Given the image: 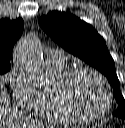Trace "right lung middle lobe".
Wrapping results in <instances>:
<instances>
[{"mask_svg": "<svg viewBox=\"0 0 125 128\" xmlns=\"http://www.w3.org/2000/svg\"><path fill=\"white\" fill-rule=\"evenodd\" d=\"M11 68L10 63H0V74H5Z\"/></svg>", "mask_w": 125, "mask_h": 128, "instance_id": "dd1d6c3e", "label": "right lung middle lobe"}]
</instances>
